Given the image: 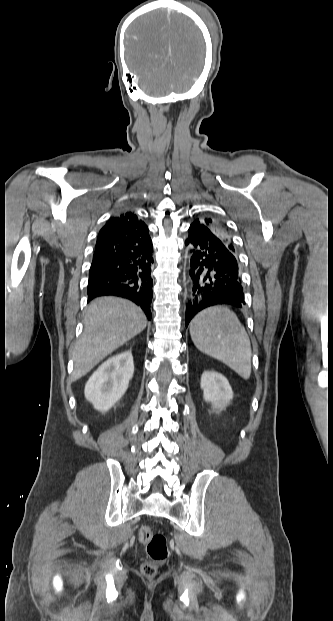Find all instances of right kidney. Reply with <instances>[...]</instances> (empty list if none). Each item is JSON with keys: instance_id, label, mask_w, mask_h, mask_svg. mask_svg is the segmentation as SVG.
Listing matches in <instances>:
<instances>
[{"instance_id": "right-kidney-1", "label": "right kidney", "mask_w": 333, "mask_h": 621, "mask_svg": "<svg viewBox=\"0 0 333 621\" xmlns=\"http://www.w3.org/2000/svg\"><path fill=\"white\" fill-rule=\"evenodd\" d=\"M134 373L131 351L107 359L85 385V398L95 409L106 412L125 394Z\"/></svg>"}]
</instances>
